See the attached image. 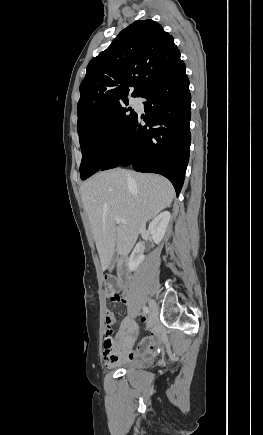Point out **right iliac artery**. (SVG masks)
Returning <instances> with one entry per match:
<instances>
[{
  "label": "right iliac artery",
  "mask_w": 263,
  "mask_h": 435,
  "mask_svg": "<svg viewBox=\"0 0 263 435\" xmlns=\"http://www.w3.org/2000/svg\"><path fill=\"white\" fill-rule=\"evenodd\" d=\"M143 311H144L145 314H148V313H149V309H148V307L144 306V307H143Z\"/></svg>",
  "instance_id": "right-iliac-artery-1"
}]
</instances>
